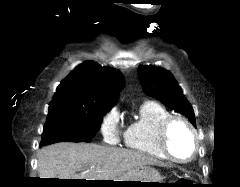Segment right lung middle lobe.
<instances>
[{
    "mask_svg": "<svg viewBox=\"0 0 240 187\" xmlns=\"http://www.w3.org/2000/svg\"><path fill=\"white\" fill-rule=\"evenodd\" d=\"M108 111L75 106L49 108L41 145L60 141L90 142Z\"/></svg>",
    "mask_w": 240,
    "mask_h": 187,
    "instance_id": "right-lung-middle-lobe-1",
    "label": "right lung middle lobe"
}]
</instances>
